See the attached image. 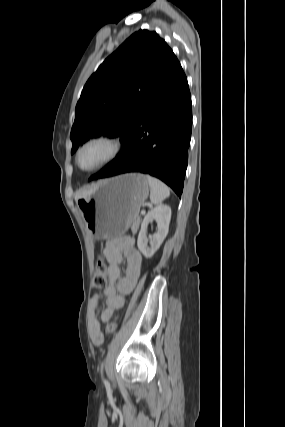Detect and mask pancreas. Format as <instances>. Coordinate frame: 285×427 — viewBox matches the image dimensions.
Returning a JSON list of instances; mask_svg holds the SVG:
<instances>
[{
  "label": "pancreas",
  "instance_id": "obj_1",
  "mask_svg": "<svg viewBox=\"0 0 285 427\" xmlns=\"http://www.w3.org/2000/svg\"><path fill=\"white\" fill-rule=\"evenodd\" d=\"M140 222H141L140 218H136L135 221L132 223L131 229H132L133 232L137 231Z\"/></svg>",
  "mask_w": 285,
  "mask_h": 427
}]
</instances>
